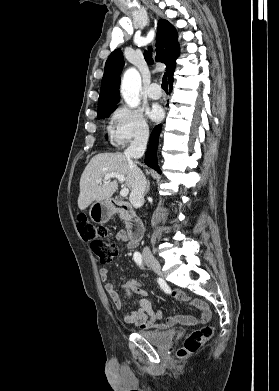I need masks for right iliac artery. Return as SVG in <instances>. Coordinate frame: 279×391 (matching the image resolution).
I'll use <instances>...</instances> for the list:
<instances>
[{"label": "right iliac artery", "instance_id": "right-iliac-artery-1", "mask_svg": "<svg viewBox=\"0 0 279 391\" xmlns=\"http://www.w3.org/2000/svg\"><path fill=\"white\" fill-rule=\"evenodd\" d=\"M133 258H134V261L141 267H143V263H142V255L140 254V252H135L134 255H133Z\"/></svg>", "mask_w": 279, "mask_h": 391}]
</instances>
